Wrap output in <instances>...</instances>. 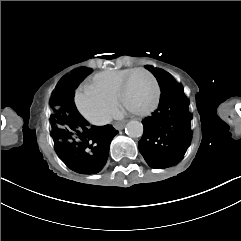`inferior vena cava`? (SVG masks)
<instances>
[{
  "instance_id": "inferior-vena-cava-1",
  "label": "inferior vena cava",
  "mask_w": 241,
  "mask_h": 241,
  "mask_svg": "<svg viewBox=\"0 0 241 241\" xmlns=\"http://www.w3.org/2000/svg\"><path fill=\"white\" fill-rule=\"evenodd\" d=\"M111 122H112V118L110 116H105L103 119L95 122L94 124L97 126H102V125L110 124Z\"/></svg>"
}]
</instances>
